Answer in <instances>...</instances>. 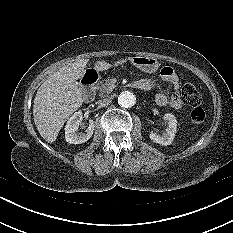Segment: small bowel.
<instances>
[{
  "label": "small bowel",
  "instance_id": "c3829d8e",
  "mask_svg": "<svg viewBox=\"0 0 233 233\" xmlns=\"http://www.w3.org/2000/svg\"><path fill=\"white\" fill-rule=\"evenodd\" d=\"M160 78L166 82H169L174 87V93L171 96H166L163 93H158L155 96V101L159 106H168L173 110L180 111L183 108V102L181 99V95L179 93V78L174 70L170 67H164L160 71ZM147 89L149 90L156 85V81L154 79H144L143 80Z\"/></svg>",
  "mask_w": 233,
  "mask_h": 233
}]
</instances>
